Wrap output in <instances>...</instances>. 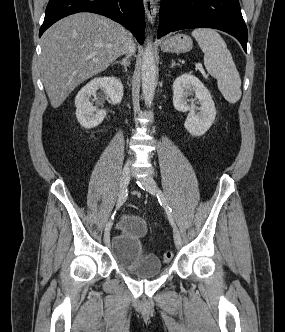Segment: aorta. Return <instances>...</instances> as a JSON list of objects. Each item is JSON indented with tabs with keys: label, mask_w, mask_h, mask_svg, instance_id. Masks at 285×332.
<instances>
[{
	"label": "aorta",
	"mask_w": 285,
	"mask_h": 332,
	"mask_svg": "<svg viewBox=\"0 0 285 332\" xmlns=\"http://www.w3.org/2000/svg\"><path fill=\"white\" fill-rule=\"evenodd\" d=\"M141 78L144 101L145 104L150 107L153 101L156 83V65L150 39L147 40L142 57Z\"/></svg>",
	"instance_id": "aorta-1"
}]
</instances>
